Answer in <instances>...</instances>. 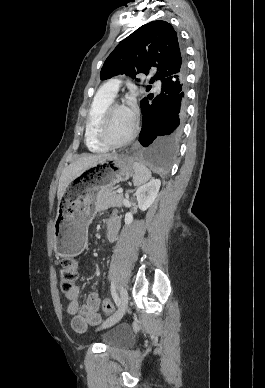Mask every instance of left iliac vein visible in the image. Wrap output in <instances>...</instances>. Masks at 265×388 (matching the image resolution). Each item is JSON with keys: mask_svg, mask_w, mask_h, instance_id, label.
<instances>
[{"mask_svg": "<svg viewBox=\"0 0 265 388\" xmlns=\"http://www.w3.org/2000/svg\"><path fill=\"white\" fill-rule=\"evenodd\" d=\"M127 306H128V293H127V290L122 287L120 290V304L117 311L113 316H111L108 320H106L102 324L101 328L102 329L109 328L115 325L116 323H118L124 316Z\"/></svg>", "mask_w": 265, "mask_h": 388, "instance_id": "left-iliac-vein-1", "label": "left iliac vein"}]
</instances>
